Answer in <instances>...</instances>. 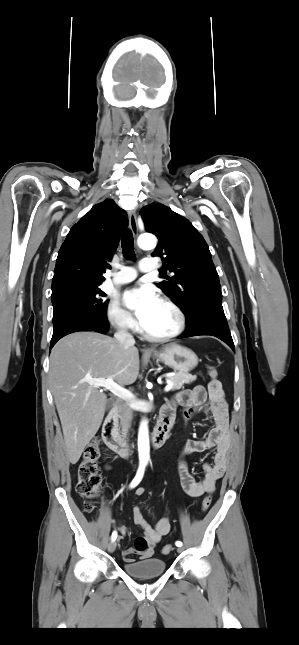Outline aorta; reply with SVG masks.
Instances as JSON below:
<instances>
[{"mask_svg": "<svg viewBox=\"0 0 299 645\" xmlns=\"http://www.w3.org/2000/svg\"><path fill=\"white\" fill-rule=\"evenodd\" d=\"M156 238L151 234H144L138 238V245L142 249H154L156 247ZM138 452L140 463L146 464L149 460V435L147 422L142 421L138 433Z\"/></svg>", "mask_w": 299, "mask_h": 645, "instance_id": "762f6f07", "label": "aorta"}]
</instances>
